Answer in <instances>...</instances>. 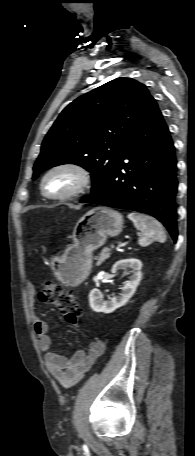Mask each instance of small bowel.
Here are the masks:
<instances>
[{
  "instance_id": "1",
  "label": "small bowel",
  "mask_w": 195,
  "mask_h": 456,
  "mask_svg": "<svg viewBox=\"0 0 195 456\" xmlns=\"http://www.w3.org/2000/svg\"><path fill=\"white\" fill-rule=\"evenodd\" d=\"M26 293L31 308V319L38 346L44 352L46 368L63 388H71L83 379L87 371L103 354L105 344L101 340L94 341L88 346L87 350H79L71 358L57 354L52 350L49 323L41 320L33 312L35 302V287L33 284L29 283L27 285Z\"/></svg>"
}]
</instances>
